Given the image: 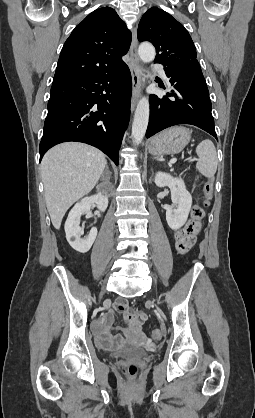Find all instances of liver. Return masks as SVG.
<instances>
[{"mask_svg": "<svg viewBox=\"0 0 255 418\" xmlns=\"http://www.w3.org/2000/svg\"><path fill=\"white\" fill-rule=\"evenodd\" d=\"M107 161L99 149L78 142L59 144L42 159L41 174L51 222L60 229L67 210L91 192Z\"/></svg>", "mask_w": 255, "mask_h": 418, "instance_id": "obj_1", "label": "liver"}]
</instances>
